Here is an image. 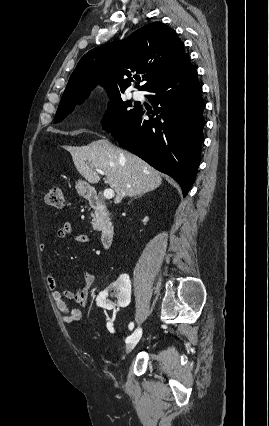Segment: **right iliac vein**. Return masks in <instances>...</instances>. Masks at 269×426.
<instances>
[{
	"label": "right iliac vein",
	"mask_w": 269,
	"mask_h": 426,
	"mask_svg": "<svg viewBox=\"0 0 269 426\" xmlns=\"http://www.w3.org/2000/svg\"><path fill=\"white\" fill-rule=\"evenodd\" d=\"M141 336H142V328L140 326H138L134 330L132 335L130 336V339H129L127 346H126V353H130L135 348V346L139 342Z\"/></svg>",
	"instance_id": "63e3f726"
}]
</instances>
